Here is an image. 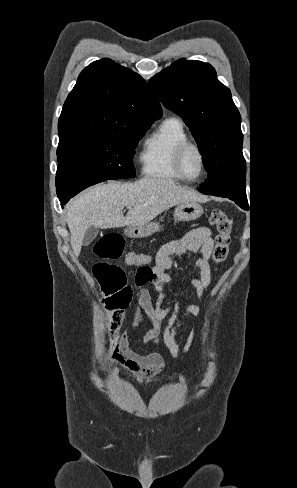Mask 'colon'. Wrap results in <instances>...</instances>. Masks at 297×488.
Segmentation results:
<instances>
[{
    "instance_id": "1",
    "label": "colon",
    "mask_w": 297,
    "mask_h": 488,
    "mask_svg": "<svg viewBox=\"0 0 297 488\" xmlns=\"http://www.w3.org/2000/svg\"><path fill=\"white\" fill-rule=\"evenodd\" d=\"M210 223L216 229L212 260L214 263L220 264L226 260L229 252L233 221L225 212L215 209L211 212ZM94 252L102 259L93 266V273L103 291L102 302L108 317L107 331L111 339V346L115 349L123 312L128 307L134 289L145 284L148 279L150 257L147 254L142 258L144 263L138 266L133 282L130 284L124 269L112 262L123 253L121 235L117 233L103 235L96 242Z\"/></svg>"
}]
</instances>
